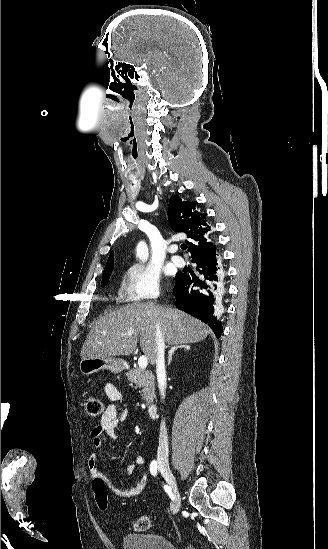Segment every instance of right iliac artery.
I'll return each mask as SVG.
<instances>
[{
    "label": "right iliac artery",
    "instance_id": "obj_1",
    "mask_svg": "<svg viewBox=\"0 0 328 549\" xmlns=\"http://www.w3.org/2000/svg\"><path fill=\"white\" fill-rule=\"evenodd\" d=\"M150 471L152 473V475H156V472H157V462L156 461H153L150 465ZM164 490L165 492L168 493L169 497L174 500V495L172 493V490L171 488L168 486V485H164Z\"/></svg>",
    "mask_w": 328,
    "mask_h": 549
}]
</instances>
